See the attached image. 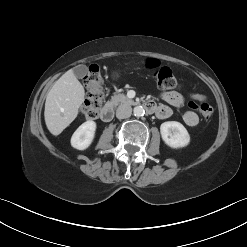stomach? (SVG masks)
<instances>
[{
    "label": "stomach",
    "instance_id": "1",
    "mask_svg": "<svg viewBox=\"0 0 247 247\" xmlns=\"http://www.w3.org/2000/svg\"><path fill=\"white\" fill-rule=\"evenodd\" d=\"M112 76H113L114 78H118V77H120V73H119V72H114V73L112 74Z\"/></svg>",
    "mask_w": 247,
    "mask_h": 247
}]
</instances>
